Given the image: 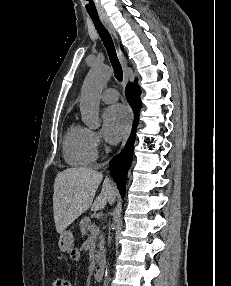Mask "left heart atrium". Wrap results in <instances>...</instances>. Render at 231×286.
Wrapping results in <instances>:
<instances>
[{
	"instance_id": "39dd6f15",
	"label": "left heart atrium",
	"mask_w": 231,
	"mask_h": 286,
	"mask_svg": "<svg viewBox=\"0 0 231 286\" xmlns=\"http://www.w3.org/2000/svg\"><path fill=\"white\" fill-rule=\"evenodd\" d=\"M127 110L119 104L108 107L103 113V133L109 142L119 141L128 128Z\"/></svg>"
}]
</instances>
